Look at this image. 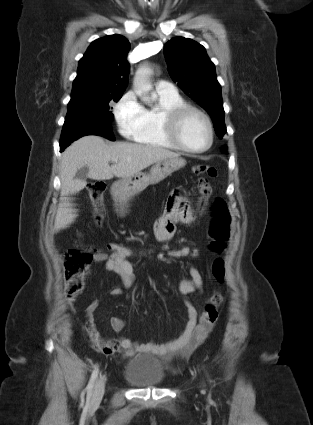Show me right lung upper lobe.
Here are the masks:
<instances>
[{
    "label": "right lung upper lobe",
    "instance_id": "obj_1",
    "mask_svg": "<svg viewBox=\"0 0 313 425\" xmlns=\"http://www.w3.org/2000/svg\"><path fill=\"white\" fill-rule=\"evenodd\" d=\"M129 41L114 34L91 43L80 59L71 96L123 93L129 74Z\"/></svg>",
    "mask_w": 313,
    "mask_h": 425
}]
</instances>
